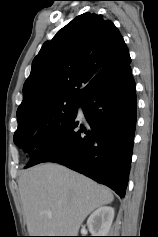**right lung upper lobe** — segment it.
I'll return each instance as SVG.
<instances>
[{
    "instance_id": "right-lung-upper-lobe-1",
    "label": "right lung upper lobe",
    "mask_w": 158,
    "mask_h": 237,
    "mask_svg": "<svg viewBox=\"0 0 158 237\" xmlns=\"http://www.w3.org/2000/svg\"><path fill=\"white\" fill-rule=\"evenodd\" d=\"M128 48L115 25L84 13L43 44L23 86L17 116L60 98L82 100L129 66Z\"/></svg>"
}]
</instances>
